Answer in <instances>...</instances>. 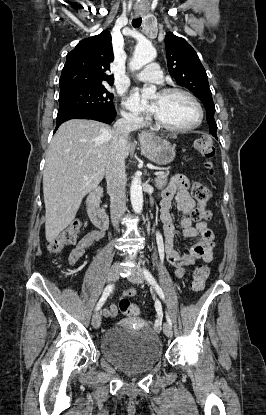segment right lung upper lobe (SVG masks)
Returning <instances> with one entry per match:
<instances>
[{"label": "right lung upper lobe", "instance_id": "cb5924a9", "mask_svg": "<svg viewBox=\"0 0 266 415\" xmlns=\"http://www.w3.org/2000/svg\"><path fill=\"white\" fill-rule=\"evenodd\" d=\"M114 58L110 32L80 41L67 54L66 63L60 77V92L71 89L110 84L113 75H107L110 62Z\"/></svg>", "mask_w": 266, "mask_h": 415}]
</instances>
